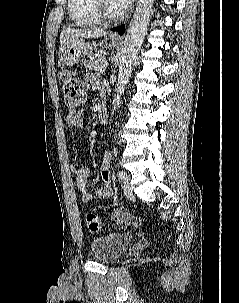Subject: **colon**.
I'll return each mask as SVG.
<instances>
[{
	"label": "colon",
	"mask_w": 239,
	"mask_h": 303,
	"mask_svg": "<svg viewBox=\"0 0 239 303\" xmlns=\"http://www.w3.org/2000/svg\"><path fill=\"white\" fill-rule=\"evenodd\" d=\"M61 87L63 99L66 107L71 113H74L85 102V87L81 80L70 70H64L61 73ZM88 229L92 232H98L102 228V222L98 215L88 213L85 218ZM135 222L132 218H123L116 220V227L121 229L123 223Z\"/></svg>",
	"instance_id": "obj_1"
}]
</instances>
